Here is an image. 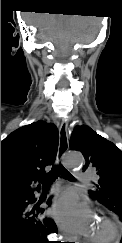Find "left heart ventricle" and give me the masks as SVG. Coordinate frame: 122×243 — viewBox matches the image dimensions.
Segmentation results:
<instances>
[{
  "label": "left heart ventricle",
  "mask_w": 122,
  "mask_h": 243,
  "mask_svg": "<svg viewBox=\"0 0 122 243\" xmlns=\"http://www.w3.org/2000/svg\"><path fill=\"white\" fill-rule=\"evenodd\" d=\"M103 226L98 220L93 223L90 234L95 235L98 234L102 230Z\"/></svg>",
  "instance_id": "b2bd125f"
}]
</instances>
